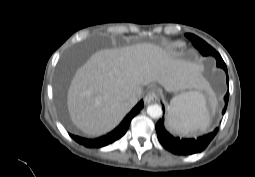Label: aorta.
Segmentation results:
<instances>
[{"mask_svg":"<svg viewBox=\"0 0 255 177\" xmlns=\"http://www.w3.org/2000/svg\"><path fill=\"white\" fill-rule=\"evenodd\" d=\"M147 114L152 118H159L162 116V108L158 104L150 105L147 108Z\"/></svg>","mask_w":255,"mask_h":177,"instance_id":"1","label":"aorta"}]
</instances>
